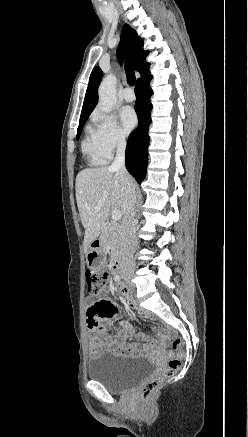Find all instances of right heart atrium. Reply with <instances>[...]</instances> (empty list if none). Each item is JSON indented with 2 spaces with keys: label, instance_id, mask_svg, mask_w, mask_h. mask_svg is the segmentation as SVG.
<instances>
[{
  "label": "right heart atrium",
  "instance_id": "right-heart-atrium-1",
  "mask_svg": "<svg viewBox=\"0 0 248 437\" xmlns=\"http://www.w3.org/2000/svg\"><path fill=\"white\" fill-rule=\"evenodd\" d=\"M92 122L96 142L108 159L117 149L125 146L126 138L113 115L96 110L92 114Z\"/></svg>",
  "mask_w": 248,
  "mask_h": 437
}]
</instances>
